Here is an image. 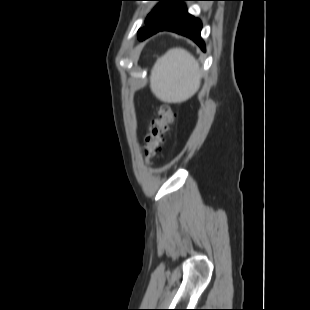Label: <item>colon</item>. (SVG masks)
Instances as JSON below:
<instances>
[{
	"label": "colon",
	"mask_w": 310,
	"mask_h": 310,
	"mask_svg": "<svg viewBox=\"0 0 310 310\" xmlns=\"http://www.w3.org/2000/svg\"><path fill=\"white\" fill-rule=\"evenodd\" d=\"M174 119V111L169 105H162L159 108L157 118L151 122L149 131L145 135L142 148L147 163L156 156Z\"/></svg>",
	"instance_id": "colon-1"
}]
</instances>
